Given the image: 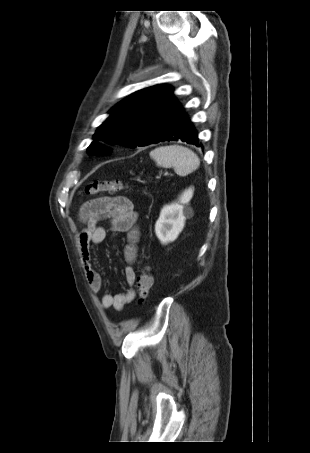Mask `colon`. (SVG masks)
Returning <instances> with one entry per match:
<instances>
[{"label": "colon", "instance_id": "obj_1", "mask_svg": "<svg viewBox=\"0 0 310 453\" xmlns=\"http://www.w3.org/2000/svg\"><path fill=\"white\" fill-rule=\"evenodd\" d=\"M127 185L119 180L115 181H92L85 188V194L88 196L99 194H114L126 189ZM153 278L148 266H143L137 277V295L140 303L144 302L149 296L152 288Z\"/></svg>", "mask_w": 310, "mask_h": 453}]
</instances>
